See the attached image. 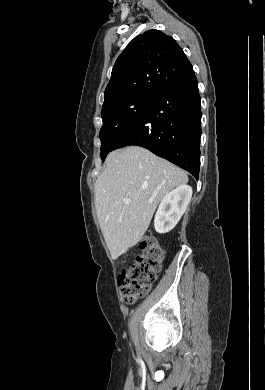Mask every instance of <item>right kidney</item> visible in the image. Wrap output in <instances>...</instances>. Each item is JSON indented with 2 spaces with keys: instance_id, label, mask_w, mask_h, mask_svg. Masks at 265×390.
Listing matches in <instances>:
<instances>
[{
  "instance_id": "1",
  "label": "right kidney",
  "mask_w": 265,
  "mask_h": 390,
  "mask_svg": "<svg viewBox=\"0 0 265 390\" xmlns=\"http://www.w3.org/2000/svg\"><path fill=\"white\" fill-rule=\"evenodd\" d=\"M191 197L192 188L185 184L167 193L155 214V230L161 234L171 231L184 214Z\"/></svg>"
}]
</instances>
